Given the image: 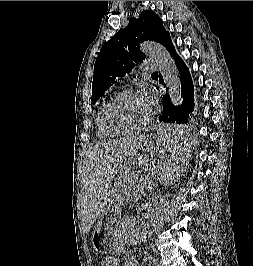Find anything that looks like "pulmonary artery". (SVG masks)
<instances>
[{
  "mask_svg": "<svg viewBox=\"0 0 253 266\" xmlns=\"http://www.w3.org/2000/svg\"><path fill=\"white\" fill-rule=\"evenodd\" d=\"M143 70H145V71H148V70H154L155 69V65H154V63L152 62V61H149V60H147V61H144V63H143Z\"/></svg>",
  "mask_w": 253,
  "mask_h": 266,
  "instance_id": "e3ab8cb5",
  "label": "pulmonary artery"
}]
</instances>
